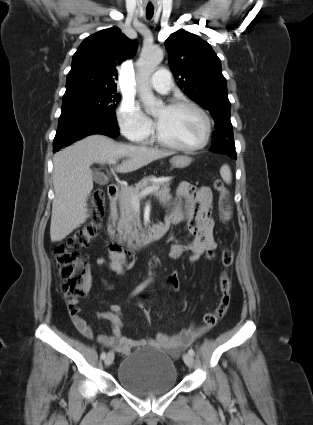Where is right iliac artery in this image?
<instances>
[{
	"label": "right iliac artery",
	"instance_id": "obj_1",
	"mask_svg": "<svg viewBox=\"0 0 313 425\" xmlns=\"http://www.w3.org/2000/svg\"><path fill=\"white\" fill-rule=\"evenodd\" d=\"M147 285V282L142 283L136 290L135 292H139L140 290H142L145 286ZM101 359H105L106 357V353L102 352L100 355Z\"/></svg>",
	"mask_w": 313,
	"mask_h": 425
}]
</instances>
